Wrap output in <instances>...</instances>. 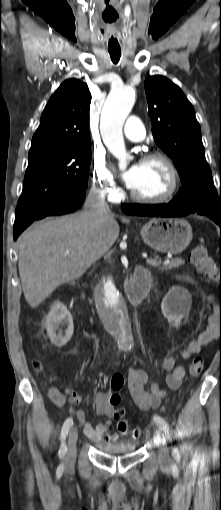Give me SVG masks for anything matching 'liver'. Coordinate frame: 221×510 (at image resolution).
Masks as SVG:
<instances>
[{
  "instance_id": "obj_1",
  "label": "liver",
  "mask_w": 221,
  "mask_h": 510,
  "mask_svg": "<svg viewBox=\"0 0 221 510\" xmlns=\"http://www.w3.org/2000/svg\"><path fill=\"white\" fill-rule=\"evenodd\" d=\"M119 230L114 214L101 220L86 209L29 227L18 240L27 303L35 308L57 287L80 278L112 247Z\"/></svg>"
}]
</instances>
